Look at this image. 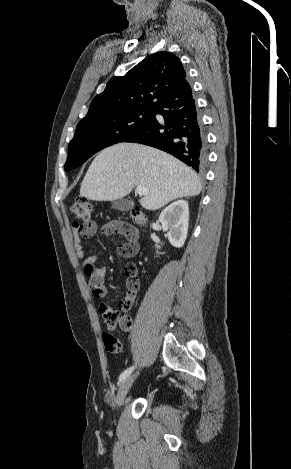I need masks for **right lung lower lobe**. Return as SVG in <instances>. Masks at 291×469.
<instances>
[{
  "label": "right lung lower lobe",
  "instance_id": "98d812e1",
  "mask_svg": "<svg viewBox=\"0 0 291 469\" xmlns=\"http://www.w3.org/2000/svg\"><path fill=\"white\" fill-rule=\"evenodd\" d=\"M156 114L164 116L165 122L157 121ZM123 142L161 149L195 171L203 170L207 159L206 139L190 85L169 93L153 109L149 122Z\"/></svg>",
  "mask_w": 291,
  "mask_h": 469
}]
</instances>
